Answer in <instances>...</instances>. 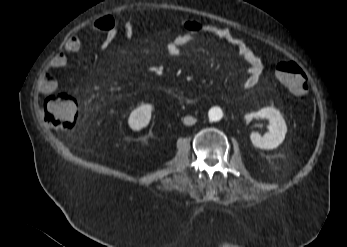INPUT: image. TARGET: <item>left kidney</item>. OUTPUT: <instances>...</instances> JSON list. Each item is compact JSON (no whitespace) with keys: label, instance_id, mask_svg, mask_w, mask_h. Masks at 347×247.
Instances as JSON below:
<instances>
[{"label":"left kidney","instance_id":"left-kidney-1","mask_svg":"<svg viewBox=\"0 0 347 247\" xmlns=\"http://www.w3.org/2000/svg\"><path fill=\"white\" fill-rule=\"evenodd\" d=\"M252 118H262L270 121L269 132L264 136L258 133H251V141L254 146L261 149L272 150L277 148L284 140L287 133V126L281 113L275 108H263L258 112L245 115L246 121Z\"/></svg>","mask_w":347,"mask_h":247}]
</instances>
